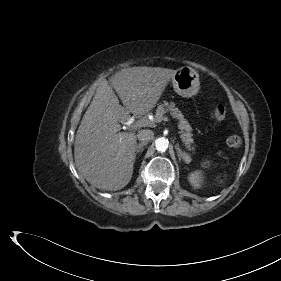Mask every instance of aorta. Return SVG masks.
Instances as JSON below:
<instances>
[{"mask_svg":"<svg viewBox=\"0 0 281 281\" xmlns=\"http://www.w3.org/2000/svg\"><path fill=\"white\" fill-rule=\"evenodd\" d=\"M168 144H169V141L164 137H160V138L156 139V141H155L156 149L159 152H165L168 148Z\"/></svg>","mask_w":281,"mask_h":281,"instance_id":"1","label":"aorta"}]
</instances>
